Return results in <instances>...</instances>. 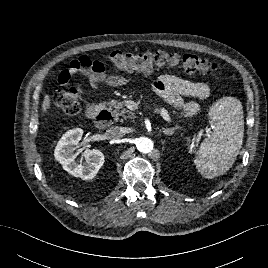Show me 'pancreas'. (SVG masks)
Segmentation results:
<instances>
[{
    "label": "pancreas",
    "mask_w": 268,
    "mask_h": 268,
    "mask_svg": "<svg viewBox=\"0 0 268 268\" xmlns=\"http://www.w3.org/2000/svg\"><path fill=\"white\" fill-rule=\"evenodd\" d=\"M107 105L109 106V110L111 111L115 120H118L119 117H123L124 119L131 118L133 115V113L131 111L127 110L124 107L125 101L111 100L107 103ZM182 116L183 115L181 114L180 117H182Z\"/></svg>",
    "instance_id": "1"
}]
</instances>
